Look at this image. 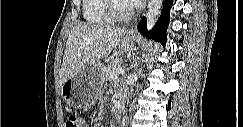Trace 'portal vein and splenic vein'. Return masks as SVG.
<instances>
[{
	"label": "portal vein and splenic vein",
	"mask_w": 243,
	"mask_h": 127,
	"mask_svg": "<svg viewBox=\"0 0 243 127\" xmlns=\"http://www.w3.org/2000/svg\"><path fill=\"white\" fill-rule=\"evenodd\" d=\"M123 73H124V69H122L121 67H119V68H117V69H115V70L112 71L109 80L110 79H113V78H115L118 75L123 74Z\"/></svg>",
	"instance_id": "portal-vein-and-splenic-vein-1"
}]
</instances>
